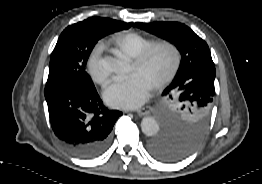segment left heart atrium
Segmentation results:
<instances>
[{
    "label": "left heart atrium",
    "instance_id": "obj_1",
    "mask_svg": "<svg viewBox=\"0 0 262 184\" xmlns=\"http://www.w3.org/2000/svg\"><path fill=\"white\" fill-rule=\"evenodd\" d=\"M152 85L140 74L119 79L105 92L106 102L114 108L134 109L149 97Z\"/></svg>",
    "mask_w": 262,
    "mask_h": 184
}]
</instances>
